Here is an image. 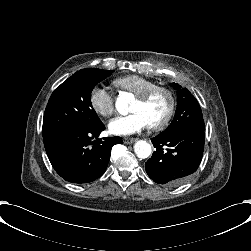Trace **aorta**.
<instances>
[{"label":"aorta","mask_w":251,"mask_h":251,"mask_svg":"<svg viewBox=\"0 0 251 251\" xmlns=\"http://www.w3.org/2000/svg\"><path fill=\"white\" fill-rule=\"evenodd\" d=\"M132 97L127 92H122L116 100V109L121 114H127L128 104ZM134 152L137 157L145 159L148 158L152 152L151 145L144 140H139L134 144Z\"/></svg>","instance_id":"762f6f07"}]
</instances>
